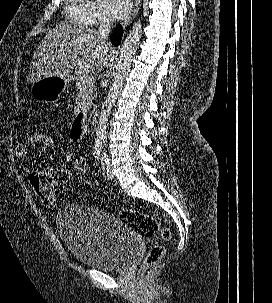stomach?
<instances>
[{"instance_id":"1","label":"stomach","mask_w":272,"mask_h":303,"mask_svg":"<svg viewBox=\"0 0 272 303\" xmlns=\"http://www.w3.org/2000/svg\"><path fill=\"white\" fill-rule=\"evenodd\" d=\"M65 77H48L33 83L31 93L41 102L56 101L67 85Z\"/></svg>"}]
</instances>
